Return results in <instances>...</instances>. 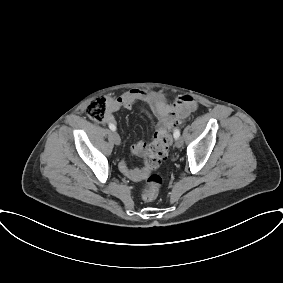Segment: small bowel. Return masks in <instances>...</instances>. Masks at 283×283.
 <instances>
[{"label":"small bowel","instance_id":"small-bowel-1","mask_svg":"<svg viewBox=\"0 0 283 283\" xmlns=\"http://www.w3.org/2000/svg\"><path fill=\"white\" fill-rule=\"evenodd\" d=\"M144 102L147 105V115L151 121L152 128L161 126L168 119L172 118L178 112L179 105L170 103L159 94L147 93L141 90H130L119 97L107 98L108 114L106 121L109 124H115L114 113L121 109H131L137 102ZM177 103H190L194 107L193 99L188 95L178 98ZM188 110V111H189ZM146 149V142L138 141L131 147V152L135 155H141ZM120 172L133 181L141 180L147 173L144 168H131L126 160L119 163Z\"/></svg>","mask_w":283,"mask_h":283}]
</instances>
